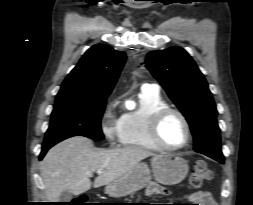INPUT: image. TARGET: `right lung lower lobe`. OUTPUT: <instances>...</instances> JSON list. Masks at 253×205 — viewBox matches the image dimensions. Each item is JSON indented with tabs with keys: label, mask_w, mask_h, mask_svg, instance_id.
Here are the masks:
<instances>
[{
	"label": "right lung lower lobe",
	"mask_w": 253,
	"mask_h": 205,
	"mask_svg": "<svg viewBox=\"0 0 253 205\" xmlns=\"http://www.w3.org/2000/svg\"><path fill=\"white\" fill-rule=\"evenodd\" d=\"M52 147V146H48V147H42V151L40 153L39 159L42 160V158L44 157V155L46 154V152L48 151V149Z\"/></svg>",
	"instance_id": "98d812e1"
}]
</instances>
